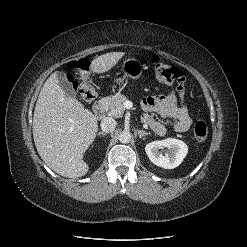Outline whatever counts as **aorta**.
<instances>
[{
	"instance_id": "aorta-1",
	"label": "aorta",
	"mask_w": 247,
	"mask_h": 247,
	"mask_svg": "<svg viewBox=\"0 0 247 247\" xmlns=\"http://www.w3.org/2000/svg\"><path fill=\"white\" fill-rule=\"evenodd\" d=\"M131 139H132V135L128 131H123L119 135V141L121 143L127 144V143H129L131 141Z\"/></svg>"
}]
</instances>
